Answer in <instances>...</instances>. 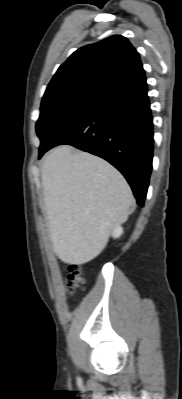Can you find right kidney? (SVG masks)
Masks as SVG:
<instances>
[{
    "mask_svg": "<svg viewBox=\"0 0 182 399\" xmlns=\"http://www.w3.org/2000/svg\"><path fill=\"white\" fill-rule=\"evenodd\" d=\"M123 234V228L118 224L114 227L112 236L114 238H119Z\"/></svg>",
    "mask_w": 182,
    "mask_h": 399,
    "instance_id": "right-kidney-1",
    "label": "right kidney"
}]
</instances>
